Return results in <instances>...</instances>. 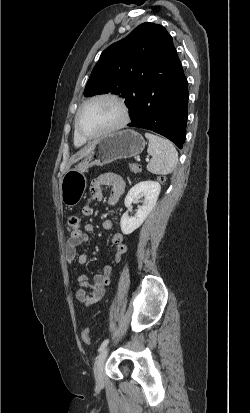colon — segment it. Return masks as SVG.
<instances>
[{"label":"colon","mask_w":250,"mask_h":413,"mask_svg":"<svg viewBox=\"0 0 250 413\" xmlns=\"http://www.w3.org/2000/svg\"><path fill=\"white\" fill-rule=\"evenodd\" d=\"M130 169H131L134 173H140V172H142V170H143L142 167H141V165L136 164V163H131V164H130ZM156 180H157L158 183H165L166 180H167V177H166L165 174H158L157 177H156ZM81 222H82L81 216H80L79 214H77V213L72 214V215L68 218L67 228H68L69 232L71 233V235H72V231H73L74 229H80V227H81ZM81 338H82V340H83L84 343H86V344H90V343H91V337H90L89 328H85V329L82 331Z\"/></svg>","instance_id":"1"}]
</instances>
